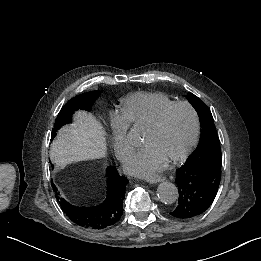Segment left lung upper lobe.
<instances>
[{
  "label": "left lung upper lobe",
  "instance_id": "5c2ea615",
  "mask_svg": "<svg viewBox=\"0 0 261 261\" xmlns=\"http://www.w3.org/2000/svg\"><path fill=\"white\" fill-rule=\"evenodd\" d=\"M195 108L201 120L202 133L197 149L188 157L186 164L198 165L202 162L222 164L219 137L213 122L211 111L206 104L192 93L186 96Z\"/></svg>",
  "mask_w": 261,
  "mask_h": 261
}]
</instances>
